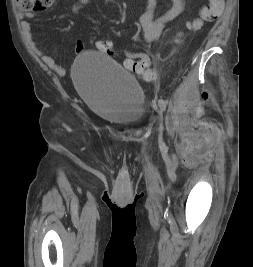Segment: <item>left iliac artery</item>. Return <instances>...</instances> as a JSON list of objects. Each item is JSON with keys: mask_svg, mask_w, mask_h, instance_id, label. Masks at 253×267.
Returning <instances> with one entry per match:
<instances>
[{"mask_svg": "<svg viewBox=\"0 0 253 267\" xmlns=\"http://www.w3.org/2000/svg\"><path fill=\"white\" fill-rule=\"evenodd\" d=\"M158 103H159V107H160V109H161L162 111H164V110L166 109V101H164L163 99H160V100L158 101Z\"/></svg>", "mask_w": 253, "mask_h": 267, "instance_id": "44dca946", "label": "left iliac artery"}]
</instances>
